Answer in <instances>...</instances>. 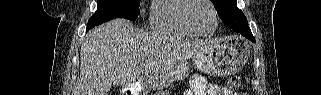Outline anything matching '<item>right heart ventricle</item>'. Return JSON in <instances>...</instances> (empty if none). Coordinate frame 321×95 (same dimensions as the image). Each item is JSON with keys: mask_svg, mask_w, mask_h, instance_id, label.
Here are the masks:
<instances>
[{"mask_svg": "<svg viewBox=\"0 0 321 95\" xmlns=\"http://www.w3.org/2000/svg\"><path fill=\"white\" fill-rule=\"evenodd\" d=\"M188 0H153L149 8L151 29L187 36L198 35L185 21Z\"/></svg>", "mask_w": 321, "mask_h": 95, "instance_id": "right-heart-ventricle-1", "label": "right heart ventricle"}]
</instances>
